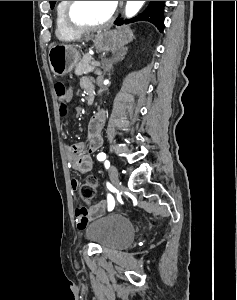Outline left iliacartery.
<instances>
[{"label":"left iliac artery","instance_id":"44dca946","mask_svg":"<svg viewBox=\"0 0 237 300\" xmlns=\"http://www.w3.org/2000/svg\"><path fill=\"white\" fill-rule=\"evenodd\" d=\"M97 159L99 161H104L106 159V154L103 152L99 153L97 155ZM105 167L106 169L110 167V162L108 160H105ZM114 205H115L114 198L110 194H108V210L111 211L114 208Z\"/></svg>","mask_w":237,"mask_h":300}]
</instances>
